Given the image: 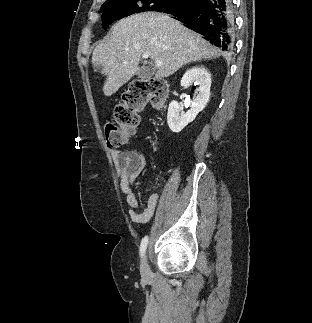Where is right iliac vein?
<instances>
[{
    "instance_id": "1",
    "label": "right iliac vein",
    "mask_w": 312,
    "mask_h": 323,
    "mask_svg": "<svg viewBox=\"0 0 312 323\" xmlns=\"http://www.w3.org/2000/svg\"><path fill=\"white\" fill-rule=\"evenodd\" d=\"M141 274L144 277H147L149 275V268H148V265H147L146 256H144L143 257V260H142V264H141Z\"/></svg>"
}]
</instances>
